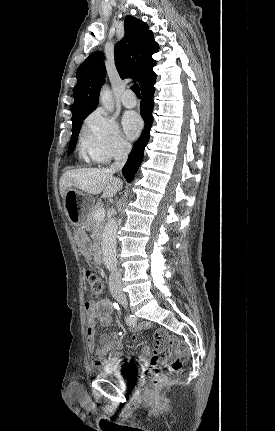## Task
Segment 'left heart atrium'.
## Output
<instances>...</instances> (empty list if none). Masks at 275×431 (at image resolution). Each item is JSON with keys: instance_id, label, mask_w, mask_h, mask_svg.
<instances>
[{"instance_id": "1", "label": "left heart atrium", "mask_w": 275, "mask_h": 431, "mask_svg": "<svg viewBox=\"0 0 275 431\" xmlns=\"http://www.w3.org/2000/svg\"><path fill=\"white\" fill-rule=\"evenodd\" d=\"M123 127L126 135L130 139H134L140 134L143 128V122L137 113L128 112L123 117Z\"/></svg>"}]
</instances>
